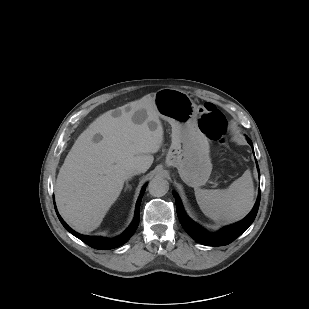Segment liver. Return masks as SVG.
Listing matches in <instances>:
<instances>
[{
    "instance_id": "6515ba94",
    "label": "liver",
    "mask_w": 309,
    "mask_h": 309,
    "mask_svg": "<svg viewBox=\"0 0 309 309\" xmlns=\"http://www.w3.org/2000/svg\"><path fill=\"white\" fill-rule=\"evenodd\" d=\"M154 95L102 114L72 146L60 168L55 197L60 214L76 231L89 233L99 227L129 169L140 166L146 172L152 165L164 135ZM140 110L146 118L138 124L133 116Z\"/></svg>"
}]
</instances>
